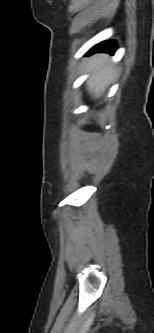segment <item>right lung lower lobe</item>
Instances as JSON below:
<instances>
[{"label":"right lung lower lobe","instance_id":"obj_1","mask_svg":"<svg viewBox=\"0 0 154 333\" xmlns=\"http://www.w3.org/2000/svg\"><path fill=\"white\" fill-rule=\"evenodd\" d=\"M116 51L115 41H106L94 46L88 53V55L95 52H107L113 54Z\"/></svg>","mask_w":154,"mask_h":333}]
</instances>
